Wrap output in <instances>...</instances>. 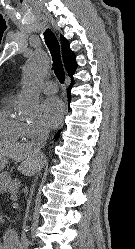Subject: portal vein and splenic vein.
Segmentation results:
<instances>
[{
  "label": "portal vein and splenic vein",
  "mask_w": 135,
  "mask_h": 249,
  "mask_svg": "<svg viewBox=\"0 0 135 249\" xmlns=\"http://www.w3.org/2000/svg\"><path fill=\"white\" fill-rule=\"evenodd\" d=\"M17 199V197L16 198H12V200H16Z\"/></svg>",
  "instance_id": "obj_1"
}]
</instances>
